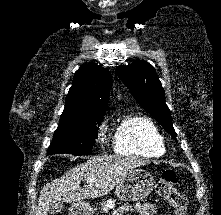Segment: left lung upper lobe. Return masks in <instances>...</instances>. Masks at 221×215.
Here are the masks:
<instances>
[{
	"label": "left lung upper lobe",
	"instance_id": "1",
	"mask_svg": "<svg viewBox=\"0 0 221 215\" xmlns=\"http://www.w3.org/2000/svg\"><path fill=\"white\" fill-rule=\"evenodd\" d=\"M117 74L128 87L136 101L164 129L176 138L171 112L165 103V93L155 68L146 61H136L128 66H118Z\"/></svg>",
	"mask_w": 221,
	"mask_h": 215
}]
</instances>
